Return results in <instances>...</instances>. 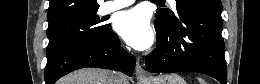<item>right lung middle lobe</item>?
Instances as JSON below:
<instances>
[{
	"label": "right lung middle lobe",
	"mask_w": 260,
	"mask_h": 84,
	"mask_svg": "<svg viewBox=\"0 0 260 84\" xmlns=\"http://www.w3.org/2000/svg\"><path fill=\"white\" fill-rule=\"evenodd\" d=\"M110 25H102L96 12L82 15L48 28L47 64L55 60L68 47L86 41H104L110 33Z\"/></svg>",
	"instance_id": "obj_1"
}]
</instances>
